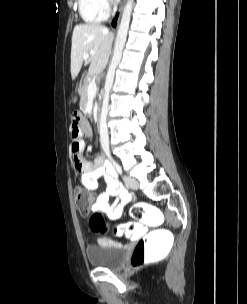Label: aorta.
Masks as SVG:
<instances>
[{"label":"aorta","instance_id":"obj_1","mask_svg":"<svg viewBox=\"0 0 247 304\" xmlns=\"http://www.w3.org/2000/svg\"><path fill=\"white\" fill-rule=\"evenodd\" d=\"M133 1L134 0H128L123 13L121 22L119 25V29L116 36L115 41V47H114V53L111 60V63L109 65V69L107 71L106 80H105V86H104V95H103V101H102V107H101V113H100V143L104 151H109V134H108V128H107V115L109 111V96H110V90L114 83L115 78V71L117 66L119 65L123 49L126 43L127 39V33L129 29L130 19H131V13L133 8Z\"/></svg>","mask_w":247,"mask_h":304}]
</instances>
